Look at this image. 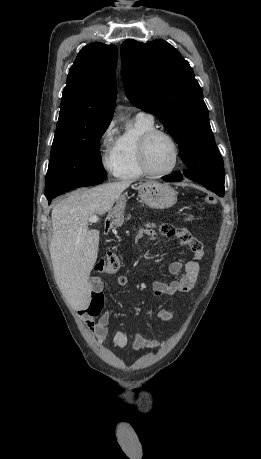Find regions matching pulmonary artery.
<instances>
[{
    "instance_id": "pulmonary-artery-1",
    "label": "pulmonary artery",
    "mask_w": 261,
    "mask_h": 459,
    "mask_svg": "<svg viewBox=\"0 0 261 459\" xmlns=\"http://www.w3.org/2000/svg\"><path fill=\"white\" fill-rule=\"evenodd\" d=\"M137 117H147V118H153V116L149 113H146V112H139L137 114Z\"/></svg>"
}]
</instances>
